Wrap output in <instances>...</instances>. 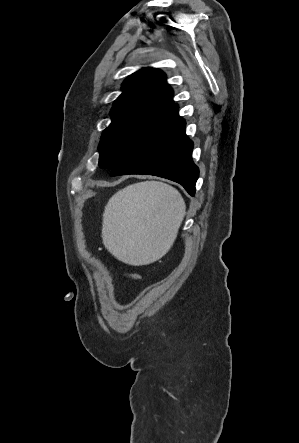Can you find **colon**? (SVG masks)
I'll return each instance as SVG.
<instances>
[{"label": "colon", "instance_id": "colon-1", "mask_svg": "<svg viewBox=\"0 0 299 443\" xmlns=\"http://www.w3.org/2000/svg\"><path fill=\"white\" fill-rule=\"evenodd\" d=\"M116 277L130 282H137L139 280V276L137 274L128 272L117 273Z\"/></svg>", "mask_w": 299, "mask_h": 443}]
</instances>
